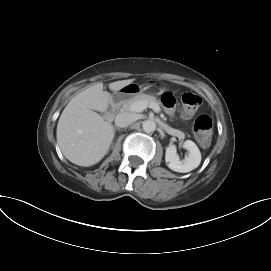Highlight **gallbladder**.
Wrapping results in <instances>:
<instances>
[{
	"label": "gallbladder",
	"instance_id": "bac80fb5",
	"mask_svg": "<svg viewBox=\"0 0 271 271\" xmlns=\"http://www.w3.org/2000/svg\"><path fill=\"white\" fill-rule=\"evenodd\" d=\"M103 116L105 115V113L103 112V113H101Z\"/></svg>",
	"mask_w": 271,
	"mask_h": 271
}]
</instances>
